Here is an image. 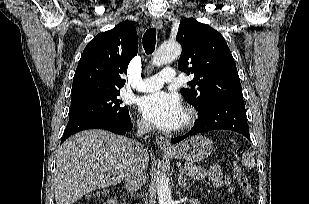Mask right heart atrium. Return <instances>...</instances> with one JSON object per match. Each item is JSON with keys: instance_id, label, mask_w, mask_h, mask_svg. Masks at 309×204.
<instances>
[{"instance_id": "1", "label": "right heart atrium", "mask_w": 309, "mask_h": 204, "mask_svg": "<svg viewBox=\"0 0 309 204\" xmlns=\"http://www.w3.org/2000/svg\"><path fill=\"white\" fill-rule=\"evenodd\" d=\"M137 126L142 131H149L151 128L150 124L145 119L142 118L137 120Z\"/></svg>"}]
</instances>
